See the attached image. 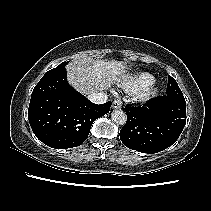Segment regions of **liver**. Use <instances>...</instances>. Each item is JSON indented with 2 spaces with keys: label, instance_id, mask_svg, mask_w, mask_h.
<instances>
[{
  "label": "liver",
  "instance_id": "1",
  "mask_svg": "<svg viewBox=\"0 0 211 211\" xmlns=\"http://www.w3.org/2000/svg\"><path fill=\"white\" fill-rule=\"evenodd\" d=\"M126 72L125 62L117 60L88 59L67 67L68 82L84 95L119 83Z\"/></svg>",
  "mask_w": 211,
  "mask_h": 211
}]
</instances>
